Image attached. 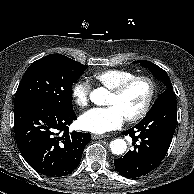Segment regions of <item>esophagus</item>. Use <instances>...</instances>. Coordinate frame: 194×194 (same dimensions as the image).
I'll use <instances>...</instances> for the list:
<instances>
[{"mask_svg":"<svg viewBox=\"0 0 194 194\" xmlns=\"http://www.w3.org/2000/svg\"><path fill=\"white\" fill-rule=\"evenodd\" d=\"M106 135H99V134H91V138L93 140H96V139H102V138H105Z\"/></svg>","mask_w":194,"mask_h":194,"instance_id":"1","label":"esophagus"}]
</instances>
